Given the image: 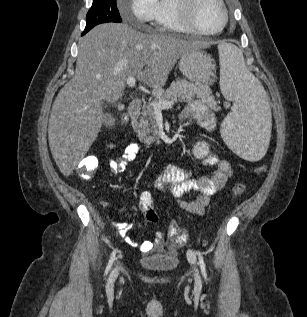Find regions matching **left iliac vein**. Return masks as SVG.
Returning a JSON list of instances; mask_svg holds the SVG:
<instances>
[{
    "label": "left iliac vein",
    "mask_w": 307,
    "mask_h": 317,
    "mask_svg": "<svg viewBox=\"0 0 307 317\" xmlns=\"http://www.w3.org/2000/svg\"><path fill=\"white\" fill-rule=\"evenodd\" d=\"M187 257H188L189 262L194 266L195 265V255H194V252L192 250H189L187 252ZM194 279H195L196 286L200 287L201 280H200V276L198 274V271L196 269H194Z\"/></svg>",
    "instance_id": "1"
}]
</instances>
